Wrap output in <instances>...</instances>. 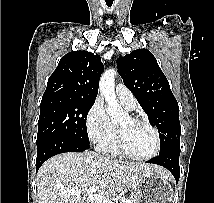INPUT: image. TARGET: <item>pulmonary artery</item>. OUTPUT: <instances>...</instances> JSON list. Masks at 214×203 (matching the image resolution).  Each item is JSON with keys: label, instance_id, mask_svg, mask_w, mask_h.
I'll list each match as a JSON object with an SVG mask.
<instances>
[{"label": "pulmonary artery", "instance_id": "e3ab8cb5", "mask_svg": "<svg viewBox=\"0 0 214 203\" xmlns=\"http://www.w3.org/2000/svg\"><path fill=\"white\" fill-rule=\"evenodd\" d=\"M119 101L127 108H135L136 101L131 91L122 83H119L115 89Z\"/></svg>", "mask_w": 214, "mask_h": 203}]
</instances>
